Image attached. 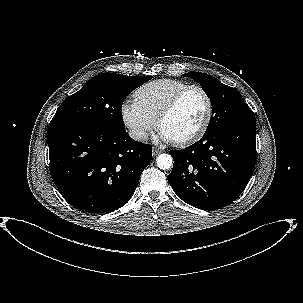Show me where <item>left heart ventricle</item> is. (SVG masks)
<instances>
[{"label":"left heart ventricle","instance_id":"obj_1","mask_svg":"<svg viewBox=\"0 0 303 303\" xmlns=\"http://www.w3.org/2000/svg\"><path fill=\"white\" fill-rule=\"evenodd\" d=\"M206 107L203 95L197 90H191L181 99L174 112L163 121L161 129L174 141L184 139L199 128Z\"/></svg>","mask_w":303,"mask_h":303}]
</instances>
